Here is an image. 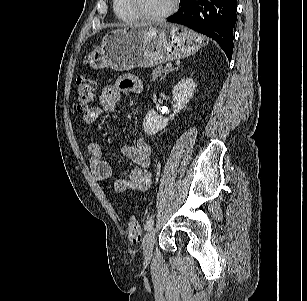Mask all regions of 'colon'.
I'll return each instance as SVG.
<instances>
[{"label": "colon", "mask_w": 307, "mask_h": 301, "mask_svg": "<svg viewBox=\"0 0 307 301\" xmlns=\"http://www.w3.org/2000/svg\"><path fill=\"white\" fill-rule=\"evenodd\" d=\"M97 92L95 80L89 76H79L76 82V100L80 112H85L94 101ZM129 234L131 237H137L140 233L138 222L133 214L128 215Z\"/></svg>", "instance_id": "1"}]
</instances>
